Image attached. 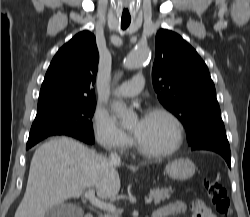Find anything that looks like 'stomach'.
<instances>
[{"mask_svg":"<svg viewBox=\"0 0 250 217\" xmlns=\"http://www.w3.org/2000/svg\"><path fill=\"white\" fill-rule=\"evenodd\" d=\"M168 176L175 180L184 181L195 173V165L189 159H178L166 165Z\"/></svg>","mask_w":250,"mask_h":217,"instance_id":"obj_1","label":"stomach"}]
</instances>
